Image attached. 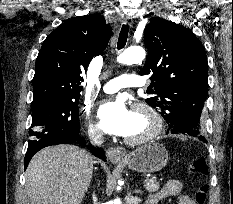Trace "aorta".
I'll list each match as a JSON object with an SVG mask.
<instances>
[{
    "label": "aorta",
    "instance_id": "aorta-1",
    "mask_svg": "<svg viewBox=\"0 0 233 204\" xmlns=\"http://www.w3.org/2000/svg\"><path fill=\"white\" fill-rule=\"evenodd\" d=\"M145 55V50L142 47H129L118 56L117 61L126 65L137 64L144 60ZM112 204H121V201L120 199H115Z\"/></svg>",
    "mask_w": 233,
    "mask_h": 204
}]
</instances>
